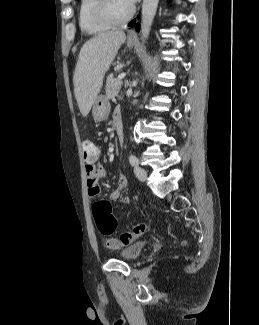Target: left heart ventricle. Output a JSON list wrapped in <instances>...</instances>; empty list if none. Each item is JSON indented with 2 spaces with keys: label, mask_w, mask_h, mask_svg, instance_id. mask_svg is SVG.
Instances as JSON below:
<instances>
[{
  "label": "left heart ventricle",
  "mask_w": 259,
  "mask_h": 325,
  "mask_svg": "<svg viewBox=\"0 0 259 325\" xmlns=\"http://www.w3.org/2000/svg\"><path fill=\"white\" fill-rule=\"evenodd\" d=\"M110 6L113 13L117 16H123L130 8L124 0H110Z\"/></svg>",
  "instance_id": "1"
}]
</instances>
